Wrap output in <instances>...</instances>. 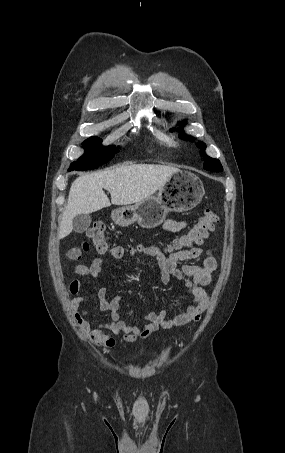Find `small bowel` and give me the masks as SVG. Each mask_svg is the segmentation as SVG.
<instances>
[{
    "label": "small bowel",
    "instance_id": "obj_1",
    "mask_svg": "<svg viewBox=\"0 0 285 453\" xmlns=\"http://www.w3.org/2000/svg\"><path fill=\"white\" fill-rule=\"evenodd\" d=\"M187 227L186 221L168 219L164 223V229L168 232L177 233ZM136 253L149 255L156 258L157 268L163 284L169 283L173 278L185 282L186 295L191 297L192 303L184 312L177 314L173 318H168L166 310L151 311L143 316L144 324L130 325L125 322L120 314L121 296L117 295L108 300L106 289L101 287L96 292L101 311L106 313V320L103 323H95L88 319L87 309L84 303L86 297L78 296L81 290V283L78 280L71 281L67 286V294L71 298L69 307L74 319L81 328L85 337L103 348H113L116 339L113 335H119L123 341L132 343L140 339L149 337L158 329H171L188 324L191 321H198L202 313L207 310L210 298L205 290L212 279L213 272L217 269V261L208 249L195 248L191 251L176 254L164 255L159 249L153 247H141L135 250ZM204 256L202 265L191 263L180 264L181 261H189ZM121 256H115L116 259ZM103 269V259L95 258L90 266L78 265L74 273L93 280H97Z\"/></svg>",
    "mask_w": 285,
    "mask_h": 453
}]
</instances>
